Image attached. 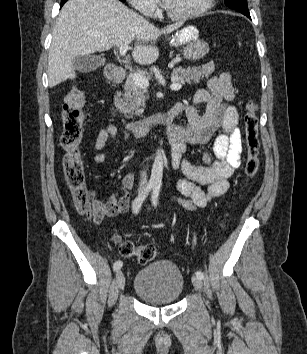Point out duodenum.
Returning <instances> with one entry per match:
<instances>
[{"label": "duodenum", "instance_id": "obj_1", "mask_svg": "<svg viewBox=\"0 0 307 354\" xmlns=\"http://www.w3.org/2000/svg\"><path fill=\"white\" fill-rule=\"evenodd\" d=\"M124 77L125 71L119 66H113L108 70L107 78L112 84L121 83ZM110 113L112 116L117 115V110L113 104L110 107ZM174 117L175 109L173 107L167 111L159 112L150 117L129 122L125 125V129L133 135H143L160 125L168 124Z\"/></svg>", "mask_w": 307, "mask_h": 354}]
</instances>
